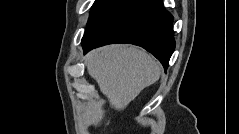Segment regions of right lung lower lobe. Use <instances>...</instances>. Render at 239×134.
<instances>
[{"mask_svg": "<svg viewBox=\"0 0 239 134\" xmlns=\"http://www.w3.org/2000/svg\"><path fill=\"white\" fill-rule=\"evenodd\" d=\"M172 21L162 0H127L82 38L84 53L111 43L134 44L152 53L166 70L175 49Z\"/></svg>", "mask_w": 239, "mask_h": 134, "instance_id": "obj_1", "label": "right lung lower lobe"}]
</instances>
